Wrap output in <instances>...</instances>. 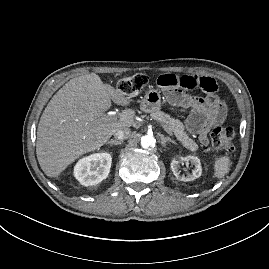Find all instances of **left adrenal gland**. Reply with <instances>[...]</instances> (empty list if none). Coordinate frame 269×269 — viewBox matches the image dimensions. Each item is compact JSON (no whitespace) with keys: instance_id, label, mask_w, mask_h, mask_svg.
<instances>
[{"instance_id":"a2214340","label":"left adrenal gland","mask_w":269,"mask_h":269,"mask_svg":"<svg viewBox=\"0 0 269 269\" xmlns=\"http://www.w3.org/2000/svg\"><path fill=\"white\" fill-rule=\"evenodd\" d=\"M160 138H161V144H162L163 147L166 146V143H167V142H171V143H173V144H177V143H176L174 140H172L170 137H165V136H163V135H160Z\"/></svg>"}]
</instances>
